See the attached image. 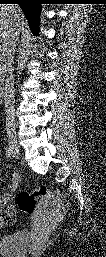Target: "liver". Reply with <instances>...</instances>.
I'll return each mask as SVG.
<instances>
[{
	"instance_id": "obj_1",
	"label": "liver",
	"mask_w": 106,
	"mask_h": 257,
	"mask_svg": "<svg viewBox=\"0 0 106 257\" xmlns=\"http://www.w3.org/2000/svg\"><path fill=\"white\" fill-rule=\"evenodd\" d=\"M24 24V15L18 6L2 5L0 8V39L3 43L13 25L21 27Z\"/></svg>"
}]
</instances>
